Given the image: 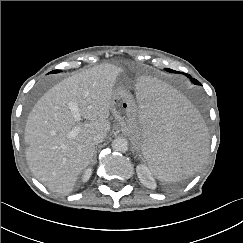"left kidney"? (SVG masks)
<instances>
[{"instance_id": "5707ae66", "label": "left kidney", "mask_w": 243, "mask_h": 243, "mask_svg": "<svg viewBox=\"0 0 243 243\" xmlns=\"http://www.w3.org/2000/svg\"><path fill=\"white\" fill-rule=\"evenodd\" d=\"M137 175L139 180L143 185H145L149 189L156 188V182L150 172V170L145 165H138L136 168Z\"/></svg>"}]
</instances>
